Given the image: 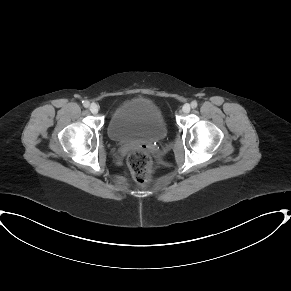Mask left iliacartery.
<instances>
[{
  "label": "left iliac artery",
  "instance_id": "left-iliac-artery-1",
  "mask_svg": "<svg viewBox=\"0 0 291 291\" xmlns=\"http://www.w3.org/2000/svg\"><path fill=\"white\" fill-rule=\"evenodd\" d=\"M198 106V103H197V101H192L191 102V107L194 109V108H196Z\"/></svg>",
  "mask_w": 291,
  "mask_h": 291
}]
</instances>
